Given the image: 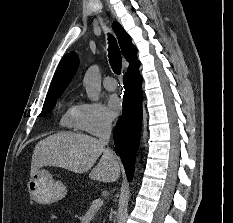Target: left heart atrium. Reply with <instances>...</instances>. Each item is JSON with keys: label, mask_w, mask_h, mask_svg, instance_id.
<instances>
[{"label": "left heart atrium", "mask_w": 233, "mask_h": 223, "mask_svg": "<svg viewBox=\"0 0 233 223\" xmlns=\"http://www.w3.org/2000/svg\"><path fill=\"white\" fill-rule=\"evenodd\" d=\"M107 113L110 119H116L121 113V104L116 96H111L107 103Z\"/></svg>", "instance_id": "left-heart-atrium-1"}]
</instances>
